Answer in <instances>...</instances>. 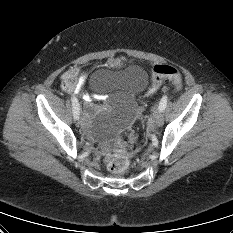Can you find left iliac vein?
<instances>
[{
    "label": "left iliac vein",
    "instance_id": "obj_1",
    "mask_svg": "<svg viewBox=\"0 0 233 233\" xmlns=\"http://www.w3.org/2000/svg\"><path fill=\"white\" fill-rule=\"evenodd\" d=\"M153 122L156 126H161L164 122L163 113L159 108H157L153 113Z\"/></svg>",
    "mask_w": 233,
    "mask_h": 233
}]
</instances>
